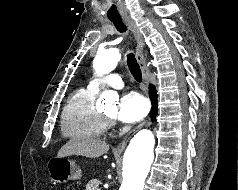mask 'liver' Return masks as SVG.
Segmentation results:
<instances>
[{
	"instance_id": "6515ba94",
	"label": "liver",
	"mask_w": 238,
	"mask_h": 190,
	"mask_svg": "<svg viewBox=\"0 0 238 190\" xmlns=\"http://www.w3.org/2000/svg\"><path fill=\"white\" fill-rule=\"evenodd\" d=\"M109 151V145L90 138H72L58 151L57 157L72 155L98 158Z\"/></svg>"
}]
</instances>
